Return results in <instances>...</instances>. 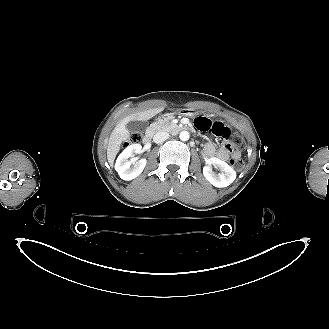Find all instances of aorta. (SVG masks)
I'll return each mask as SVG.
<instances>
[{"mask_svg":"<svg viewBox=\"0 0 329 329\" xmlns=\"http://www.w3.org/2000/svg\"><path fill=\"white\" fill-rule=\"evenodd\" d=\"M190 135L188 131H182L179 135L180 140L187 141L189 139Z\"/></svg>","mask_w":329,"mask_h":329,"instance_id":"aorta-1","label":"aorta"}]
</instances>
